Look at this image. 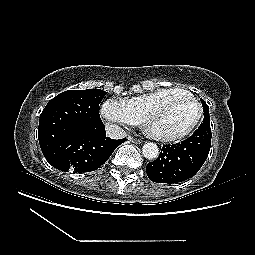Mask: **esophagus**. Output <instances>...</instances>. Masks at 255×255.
<instances>
[{
	"label": "esophagus",
	"mask_w": 255,
	"mask_h": 255,
	"mask_svg": "<svg viewBox=\"0 0 255 255\" xmlns=\"http://www.w3.org/2000/svg\"><path fill=\"white\" fill-rule=\"evenodd\" d=\"M128 139H129V141H131V142H133L135 144H141L142 143V140L134 138V137H131V136H129Z\"/></svg>",
	"instance_id": "obj_1"
}]
</instances>
